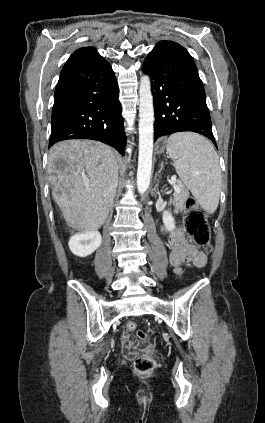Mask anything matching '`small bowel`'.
Returning <instances> with one entry per match:
<instances>
[{
  "instance_id": "obj_1",
  "label": "small bowel",
  "mask_w": 265,
  "mask_h": 423,
  "mask_svg": "<svg viewBox=\"0 0 265 423\" xmlns=\"http://www.w3.org/2000/svg\"><path fill=\"white\" fill-rule=\"evenodd\" d=\"M168 243L172 249L170 262L178 276H181L183 273L182 264L184 263L192 262L198 268H203L207 265L206 255L199 251L195 246L185 241L182 229L178 228L171 233L168 238ZM121 347L125 358L131 359L134 357L135 351L133 342L130 340L129 335L126 332H124L121 336Z\"/></svg>"
}]
</instances>
